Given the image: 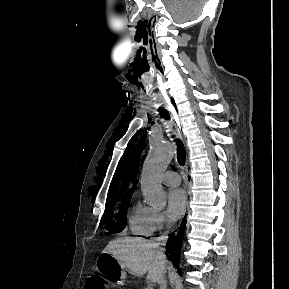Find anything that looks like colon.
<instances>
[{
  "label": "colon",
  "instance_id": "colon-1",
  "mask_svg": "<svg viewBox=\"0 0 289 289\" xmlns=\"http://www.w3.org/2000/svg\"><path fill=\"white\" fill-rule=\"evenodd\" d=\"M107 284L101 277H91L88 279L85 289H107Z\"/></svg>",
  "mask_w": 289,
  "mask_h": 289
}]
</instances>
